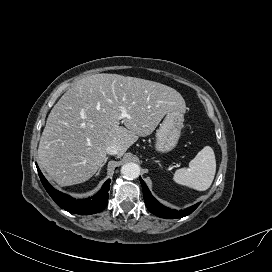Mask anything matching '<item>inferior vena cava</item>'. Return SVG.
<instances>
[{
    "label": "inferior vena cava",
    "mask_w": 272,
    "mask_h": 272,
    "mask_svg": "<svg viewBox=\"0 0 272 272\" xmlns=\"http://www.w3.org/2000/svg\"><path fill=\"white\" fill-rule=\"evenodd\" d=\"M106 153L109 155H116L118 154V147L114 144H111L106 147Z\"/></svg>",
    "instance_id": "inferior-vena-cava-1"
}]
</instances>
